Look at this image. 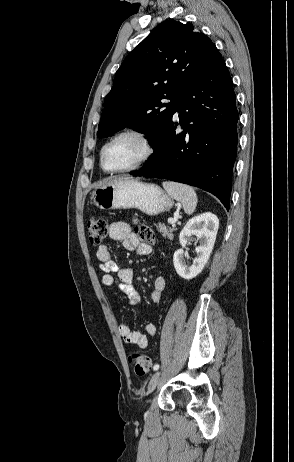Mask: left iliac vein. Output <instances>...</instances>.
Instances as JSON below:
<instances>
[{"instance_id":"1","label":"left iliac vein","mask_w":294,"mask_h":462,"mask_svg":"<svg viewBox=\"0 0 294 462\" xmlns=\"http://www.w3.org/2000/svg\"><path fill=\"white\" fill-rule=\"evenodd\" d=\"M159 379H160V372L157 371L155 372L151 379H150V382L148 384V393H151L154 391V389L156 388L158 382H159Z\"/></svg>"}]
</instances>
